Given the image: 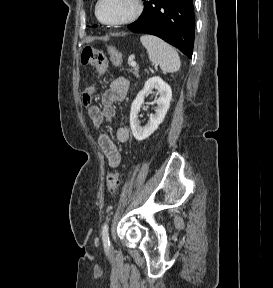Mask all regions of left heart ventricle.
Returning <instances> with one entry per match:
<instances>
[{
	"instance_id": "1",
	"label": "left heart ventricle",
	"mask_w": 273,
	"mask_h": 288,
	"mask_svg": "<svg viewBox=\"0 0 273 288\" xmlns=\"http://www.w3.org/2000/svg\"><path fill=\"white\" fill-rule=\"evenodd\" d=\"M134 7V0H103L100 16L104 21H116L130 15Z\"/></svg>"
}]
</instances>
